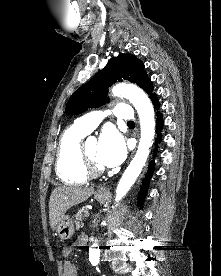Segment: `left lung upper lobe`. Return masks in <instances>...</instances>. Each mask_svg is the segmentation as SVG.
<instances>
[{
	"instance_id": "obj_1",
	"label": "left lung upper lobe",
	"mask_w": 221,
	"mask_h": 276,
	"mask_svg": "<svg viewBox=\"0 0 221 276\" xmlns=\"http://www.w3.org/2000/svg\"><path fill=\"white\" fill-rule=\"evenodd\" d=\"M123 79L136 83L151 98L156 95L152 93V82L144 71V64L132 54H121L111 58L105 68L74 92L66 105V113L79 114L105 104L108 88Z\"/></svg>"
}]
</instances>
